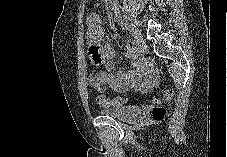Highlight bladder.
I'll return each instance as SVG.
<instances>
[{
    "label": "bladder",
    "instance_id": "31cf9c89",
    "mask_svg": "<svg viewBox=\"0 0 227 157\" xmlns=\"http://www.w3.org/2000/svg\"><path fill=\"white\" fill-rule=\"evenodd\" d=\"M141 112V108L136 105L109 107L99 111V113L102 115L109 116L124 122L135 120L141 115Z\"/></svg>",
    "mask_w": 227,
    "mask_h": 157
}]
</instances>
